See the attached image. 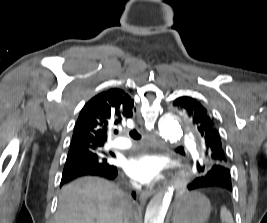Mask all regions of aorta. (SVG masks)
<instances>
[{
    "instance_id": "1",
    "label": "aorta",
    "mask_w": 267,
    "mask_h": 223,
    "mask_svg": "<svg viewBox=\"0 0 267 223\" xmlns=\"http://www.w3.org/2000/svg\"><path fill=\"white\" fill-rule=\"evenodd\" d=\"M159 131L165 140L179 141L183 135L179 117L172 114L163 117L159 123ZM173 196V187H169L165 193L155 195L147 206L144 223H164Z\"/></svg>"
}]
</instances>
